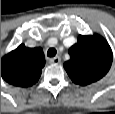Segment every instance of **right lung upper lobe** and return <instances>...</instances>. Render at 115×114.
<instances>
[{
	"label": "right lung upper lobe",
	"instance_id": "right-lung-upper-lobe-1",
	"mask_svg": "<svg viewBox=\"0 0 115 114\" xmlns=\"http://www.w3.org/2000/svg\"><path fill=\"white\" fill-rule=\"evenodd\" d=\"M44 65L42 48L21 44L1 58V76L9 84L29 87L39 80Z\"/></svg>",
	"mask_w": 115,
	"mask_h": 114
}]
</instances>
